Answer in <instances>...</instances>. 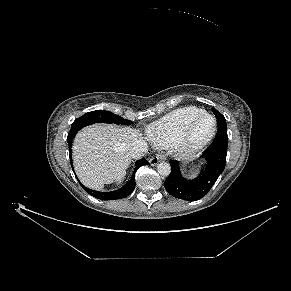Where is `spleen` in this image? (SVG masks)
Wrapping results in <instances>:
<instances>
[{
	"instance_id": "obj_1",
	"label": "spleen",
	"mask_w": 291,
	"mask_h": 291,
	"mask_svg": "<svg viewBox=\"0 0 291 291\" xmlns=\"http://www.w3.org/2000/svg\"><path fill=\"white\" fill-rule=\"evenodd\" d=\"M197 174H198V171H196V172L192 173L190 176H191L192 178H194V177H196V176H197Z\"/></svg>"
}]
</instances>
